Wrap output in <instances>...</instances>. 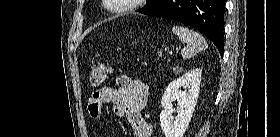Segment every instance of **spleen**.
I'll list each match as a JSON object with an SVG mask.
<instances>
[{
	"label": "spleen",
	"mask_w": 280,
	"mask_h": 137,
	"mask_svg": "<svg viewBox=\"0 0 280 137\" xmlns=\"http://www.w3.org/2000/svg\"><path fill=\"white\" fill-rule=\"evenodd\" d=\"M172 32L184 43L181 55L184 59L191 58L198 52L207 48V42L197 32L184 26H174Z\"/></svg>",
	"instance_id": "3e777b00"
}]
</instances>
